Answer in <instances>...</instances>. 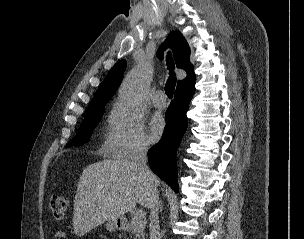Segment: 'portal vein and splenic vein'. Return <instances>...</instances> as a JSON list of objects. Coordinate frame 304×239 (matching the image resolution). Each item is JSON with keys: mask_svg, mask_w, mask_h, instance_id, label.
Masks as SVG:
<instances>
[{"mask_svg": "<svg viewBox=\"0 0 304 239\" xmlns=\"http://www.w3.org/2000/svg\"><path fill=\"white\" fill-rule=\"evenodd\" d=\"M145 215L146 214H145L144 211L139 210V211L136 212L134 220L137 221V222L144 221Z\"/></svg>", "mask_w": 304, "mask_h": 239, "instance_id": "1", "label": "portal vein and splenic vein"}]
</instances>
